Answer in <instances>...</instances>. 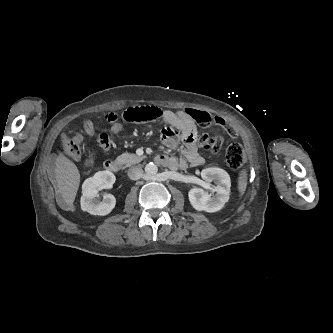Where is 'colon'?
I'll return each instance as SVG.
<instances>
[{
	"label": "colon",
	"instance_id": "colon-1",
	"mask_svg": "<svg viewBox=\"0 0 333 333\" xmlns=\"http://www.w3.org/2000/svg\"><path fill=\"white\" fill-rule=\"evenodd\" d=\"M162 115L163 110L160 108H156L154 106L141 107L134 105L124 110L122 119L130 124H137L139 122L154 121L158 118H161ZM106 119L109 122H113L118 119V116L113 113H109L106 115ZM83 127L86 133H93V127L90 122H85ZM196 141L201 147L210 152H217L223 145V137L221 135L212 137L204 132H200L196 135ZM97 142L102 149H108L111 145V140L106 134H101L98 137ZM61 143L64 151L69 155L78 156L80 154L81 137L78 133L63 135L61 138ZM225 157L228 166L233 170H238L241 168L245 161L244 151L239 143L230 144L226 149ZM86 164H92L91 157L86 160Z\"/></svg>",
	"mask_w": 333,
	"mask_h": 333
}]
</instances>
